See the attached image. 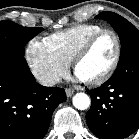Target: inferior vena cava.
<instances>
[{
  "instance_id": "obj_1",
  "label": "inferior vena cava",
  "mask_w": 139,
  "mask_h": 139,
  "mask_svg": "<svg viewBox=\"0 0 139 139\" xmlns=\"http://www.w3.org/2000/svg\"><path fill=\"white\" fill-rule=\"evenodd\" d=\"M37 79L43 86H53L60 81V78L57 75L51 73L41 74Z\"/></svg>"
}]
</instances>
